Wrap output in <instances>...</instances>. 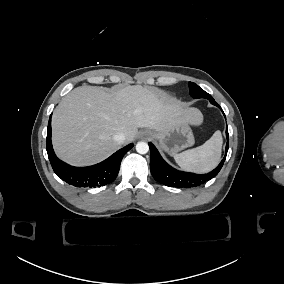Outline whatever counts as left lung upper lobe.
<instances>
[{"mask_svg": "<svg viewBox=\"0 0 284 284\" xmlns=\"http://www.w3.org/2000/svg\"><path fill=\"white\" fill-rule=\"evenodd\" d=\"M189 90H190V95L195 99L206 98L210 102L214 101L213 97L210 94L202 90L197 84L193 82H189Z\"/></svg>", "mask_w": 284, "mask_h": 284, "instance_id": "left-lung-upper-lobe-1", "label": "left lung upper lobe"}]
</instances>
